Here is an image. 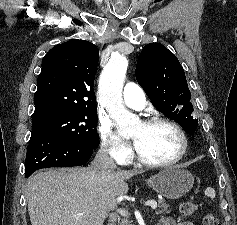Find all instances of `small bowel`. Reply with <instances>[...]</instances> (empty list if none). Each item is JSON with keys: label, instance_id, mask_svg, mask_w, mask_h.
<instances>
[{"label": "small bowel", "instance_id": "small-bowel-1", "mask_svg": "<svg viewBox=\"0 0 237 225\" xmlns=\"http://www.w3.org/2000/svg\"><path fill=\"white\" fill-rule=\"evenodd\" d=\"M158 225H194V224L188 221L176 222L171 217H165L159 221Z\"/></svg>", "mask_w": 237, "mask_h": 225}]
</instances>
